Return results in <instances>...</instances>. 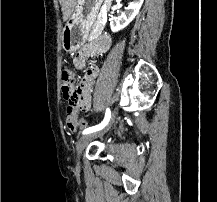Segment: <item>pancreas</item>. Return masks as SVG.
Listing matches in <instances>:
<instances>
[{
  "label": "pancreas",
  "mask_w": 217,
  "mask_h": 202,
  "mask_svg": "<svg viewBox=\"0 0 217 202\" xmlns=\"http://www.w3.org/2000/svg\"><path fill=\"white\" fill-rule=\"evenodd\" d=\"M100 34L99 30H92L91 33H89V40L93 41L94 38H97V36Z\"/></svg>",
  "instance_id": "1"
}]
</instances>
